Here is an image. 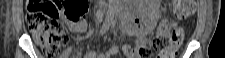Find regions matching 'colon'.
Returning <instances> with one entry per match:
<instances>
[{
    "label": "colon",
    "instance_id": "5ec220e1",
    "mask_svg": "<svg viewBox=\"0 0 225 58\" xmlns=\"http://www.w3.org/2000/svg\"><path fill=\"white\" fill-rule=\"evenodd\" d=\"M63 5L64 17L69 21L82 19L87 12V2L52 0H28L26 23L36 43L48 57L57 56L67 44L68 37L63 23L59 20L60 7ZM194 12L192 0H174L172 13L176 19H183ZM183 40V31L175 24H162L156 38L149 43H142L134 47L133 58H146L153 52L159 51L161 58L171 57Z\"/></svg>",
    "mask_w": 225,
    "mask_h": 58
}]
</instances>
